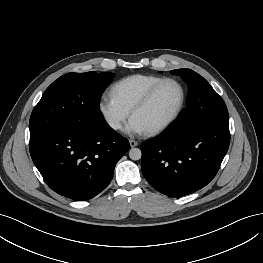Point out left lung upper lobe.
<instances>
[{
    "label": "left lung upper lobe",
    "instance_id": "left-lung-upper-lobe-1",
    "mask_svg": "<svg viewBox=\"0 0 263 263\" xmlns=\"http://www.w3.org/2000/svg\"><path fill=\"white\" fill-rule=\"evenodd\" d=\"M172 72L180 75L189 87L187 107L171 124L176 130L192 131L208 122L229 119L225 102L202 76L190 69Z\"/></svg>",
    "mask_w": 263,
    "mask_h": 263
}]
</instances>
